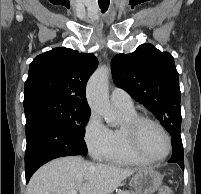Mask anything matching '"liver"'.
Returning <instances> with one entry per match:
<instances>
[{
  "instance_id": "obj_1",
  "label": "liver",
  "mask_w": 201,
  "mask_h": 194,
  "mask_svg": "<svg viewBox=\"0 0 201 194\" xmlns=\"http://www.w3.org/2000/svg\"><path fill=\"white\" fill-rule=\"evenodd\" d=\"M140 169H126L84 161L79 156L55 159L31 177L28 194H111L126 178Z\"/></svg>"
}]
</instances>
